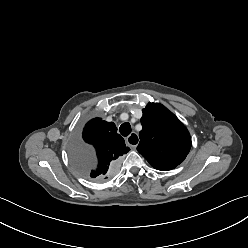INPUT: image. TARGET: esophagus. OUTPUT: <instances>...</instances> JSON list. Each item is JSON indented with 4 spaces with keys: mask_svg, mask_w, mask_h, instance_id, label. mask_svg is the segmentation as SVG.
I'll list each match as a JSON object with an SVG mask.
<instances>
[{
    "mask_svg": "<svg viewBox=\"0 0 248 248\" xmlns=\"http://www.w3.org/2000/svg\"><path fill=\"white\" fill-rule=\"evenodd\" d=\"M140 139L136 133H131L127 139L126 142L131 148H136Z\"/></svg>",
    "mask_w": 248,
    "mask_h": 248,
    "instance_id": "esophagus-1",
    "label": "esophagus"
}]
</instances>
